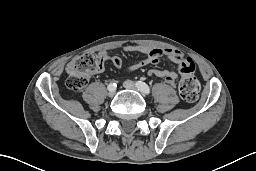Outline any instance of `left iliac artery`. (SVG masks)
<instances>
[{
	"label": "left iliac artery",
	"mask_w": 256,
	"mask_h": 171,
	"mask_svg": "<svg viewBox=\"0 0 256 171\" xmlns=\"http://www.w3.org/2000/svg\"><path fill=\"white\" fill-rule=\"evenodd\" d=\"M136 86L145 94H149L150 93V88L149 86L142 81H137L136 82Z\"/></svg>",
	"instance_id": "left-iliac-artery-1"
}]
</instances>
